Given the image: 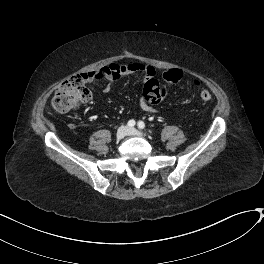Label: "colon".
<instances>
[{"label":"colon","instance_id":"5ec220e1","mask_svg":"<svg viewBox=\"0 0 264 264\" xmlns=\"http://www.w3.org/2000/svg\"><path fill=\"white\" fill-rule=\"evenodd\" d=\"M182 78V72L177 68H171L162 73V81L149 79L143 86V94L151 101L157 102L164 99L168 94V88L178 83ZM92 91L80 77H73L63 81L55 90L51 100V109L59 112H69L77 109L90 101ZM203 101L211 99V93L207 89L200 91Z\"/></svg>","mask_w":264,"mask_h":264}]
</instances>
